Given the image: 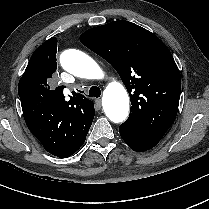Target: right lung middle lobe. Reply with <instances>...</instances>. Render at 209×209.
<instances>
[{"label": "right lung middle lobe", "mask_w": 209, "mask_h": 209, "mask_svg": "<svg viewBox=\"0 0 209 209\" xmlns=\"http://www.w3.org/2000/svg\"><path fill=\"white\" fill-rule=\"evenodd\" d=\"M56 61L54 66H47L44 62H36L35 67L32 72H30L25 77L19 81V91L20 89L28 90L31 89L35 92L42 93L48 89L47 81L52 77V74L56 70Z\"/></svg>", "instance_id": "1"}]
</instances>
